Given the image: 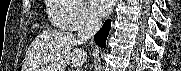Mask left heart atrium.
<instances>
[{"instance_id":"obj_1","label":"left heart atrium","mask_w":181,"mask_h":71,"mask_svg":"<svg viewBox=\"0 0 181 71\" xmlns=\"http://www.w3.org/2000/svg\"><path fill=\"white\" fill-rule=\"evenodd\" d=\"M89 4L95 13H97L99 16H104L112 9L113 1L112 0H90Z\"/></svg>"}]
</instances>
